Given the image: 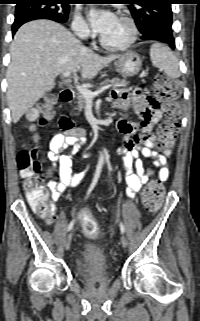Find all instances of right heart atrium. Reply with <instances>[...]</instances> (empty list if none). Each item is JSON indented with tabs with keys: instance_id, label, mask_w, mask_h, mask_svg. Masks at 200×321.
Here are the masks:
<instances>
[{
	"instance_id": "1",
	"label": "right heart atrium",
	"mask_w": 200,
	"mask_h": 321,
	"mask_svg": "<svg viewBox=\"0 0 200 321\" xmlns=\"http://www.w3.org/2000/svg\"><path fill=\"white\" fill-rule=\"evenodd\" d=\"M71 28L74 34L81 39H87L91 36V31L86 21L79 13H75L71 23Z\"/></svg>"
}]
</instances>
